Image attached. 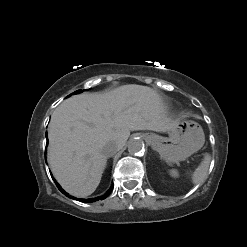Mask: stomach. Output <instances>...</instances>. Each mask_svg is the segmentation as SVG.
I'll use <instances>...</instances> for the list:
<instances>
[{
    "label": "stomach",
    "instance_id": "0dacf381",
    "mask_svg": "<svg viewBox=\"0 0 247 247\" xmlns=\"http://www.w3.org/2000/svg\"><path fill=\"white\" fill-rule=\"evenodd\" d=\"M168 134L169 137H161L155 134L146 136L152 147L168 163L185 160L197 152L205 142L202 127L192 120H177Z\"/></svg>",
    "mask_w": 247,
    "mask_h": 247
}]
</instances>
